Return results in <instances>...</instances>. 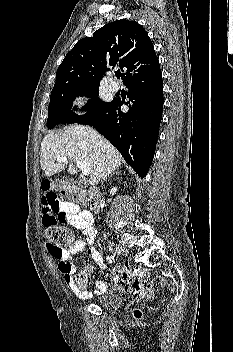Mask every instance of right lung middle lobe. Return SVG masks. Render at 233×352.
I'll list each match as a JSON object with an SVG mask.
<instances>
[{
    "mask_svg": "<svg viewBox=\"0 0 233 352\" xmlns=\"http://www.w3.org/2000/svg\"><path fill=\"white\" fill-rule=\"evenodd\" d=\"M99 85L69 86L64 85L54 87L50 96L48 106V129L54 128L59 123H77L105 107L108 102L98 98ZM77 96H87L91 99L86 104L89 111L85 115H77L71 110L72 101Z\"/></svg>",
    "mask_w": 233,
    "mask_h": 352,
    "instance_id": "obj_1",
    "label": "right lung middle lobe"
}]
</instances>
